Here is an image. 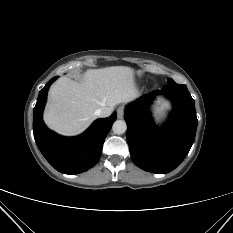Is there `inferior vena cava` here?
Instances as JSON below:
<instances>
[{
  "label": "inferior vena cava",
  "instance_id": "inferior-vena-cava-1",
  "mask_svg": "<svg viewBox=\"0 0 233 233\" xmlns=\"http://www.w3.org/2000/svg\"><path fill=\"white\" fill-rule=\"evenodd\" d=\"M112 110L109 107H101L95 111V115L101 118L110 116Z\"/></svg>",
  "mask_w": 233,
  "mask_h": 233
}]
</instances>
